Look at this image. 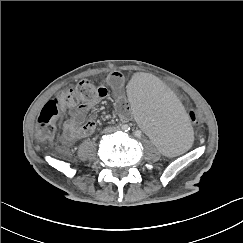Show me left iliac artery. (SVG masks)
I'll return each instance as SVG.
<instances>
[{
  "label": "left iliac artery",
  "instance_id": "44dca946",
  "mask_svg": "<svg viewBox=\"0 0 243 243\" xmlns=\"http://www.w3.org/2000/svg\"><path fill=\"white\" fill-rule=\"evenodd\" d=\"M135 134H136V135H139L138 131H137V132H135Z\"/></svg>",
  "mask_w": 243,
  "mask_h": 243
}]
</instances>
